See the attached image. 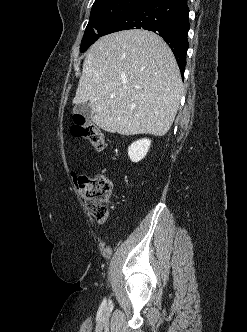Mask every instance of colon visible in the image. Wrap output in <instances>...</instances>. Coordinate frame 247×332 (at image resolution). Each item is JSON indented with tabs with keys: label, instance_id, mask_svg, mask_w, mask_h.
<instances>
[{
	"label": "colon",
	"instance_id": "5ec220e1",
	"mask_svg": "<svg viewBox=\"0 0 247 332\" xmlns=\"http://www.w3.org/2000/svg\"><path fill=\"white\" fill-rule=\"evenodd\" d=\"M72 135L88 141L95 149L103 151L106 143L100 129L82 115L73 116ZM78 190L88 204L98 222H104L109 214V203L112 195V180L109 174L98 171L77 179Z\"/></svg>",
	"mask_w": 247,
	"mask_h": 332
}]
</instances>
